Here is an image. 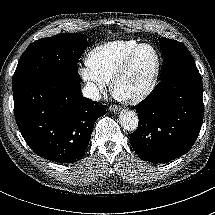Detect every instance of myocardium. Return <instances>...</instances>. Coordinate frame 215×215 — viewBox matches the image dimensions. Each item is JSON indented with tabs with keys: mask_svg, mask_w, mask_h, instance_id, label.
<instances>
[{
	"mask_svg": "<svg viewBox=\"0 0 215 215\" xmlns=\"http://www.w3.org/2000/svg\"><path fill=\"white\" fill-rule=\"evenodd\" d=\"M150 47L154 53H155V64L152 68V70L149 72L144 84L142 87L133 95H123L119 92V84L121 80L125 77L127 74L131 63L137 54V52L143 48V47ZM160 68H161V57L159 54V51L157 48L152 45L151 43H139L135 47H133L125 56L123 61L121 62L120 66L114 73L111 81H110V88H111V93L113 97L118 100L119 102L125 103V104H138L145 100L148 95L151 93L156 80L159 76L160 73Z\"/></svg>",
	"mask_w": 215,
	"mask_h": 215,
	"instance_id": "f54148a6",
	"label": "myocardium"
}]
</instances>
